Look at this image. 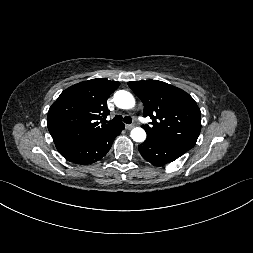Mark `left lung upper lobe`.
Returning a JSON list of instances; mask_svg holds the SVG:
<instances>
[{
	"instance_id": "5c2ea615",
	"label": "left lung upper lobe",
	"mask_w": 253,
	"mask_h": 253,
	"mask_svg": "<svg viewBox=\"0 0 253 253\" xmlns=\"http://www.w3.org/2000/svg\"><path fill=\"white\" fill-rule=\"evenodd\" d=\"M144 103L147 137L191 149L201 130L200 109L185 91L158 80L128 82Z\"/></svg>"
}]
</instances>
